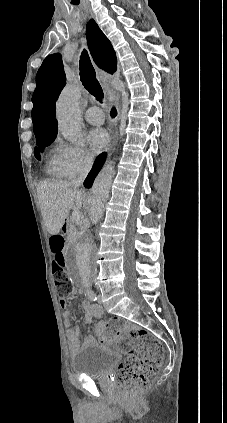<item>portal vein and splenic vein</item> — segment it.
Masks as SVG:
<instances>
[{
  "label": "portal vein and splenic vein",
  "mask_w": 227,
  "mask_h": 423,
  "mask_svg": "<svg viewBox=\"0 0 227 423\" xmlns=\"http://www.w3.org/2000/svg\"><path fill=\"white\" fill-rule=\"evenodd\" d=\"M72 217H73V219H80V217H81V211L73 210L72 211Z\"/></svg>",
  "instance_id": "portal-vein-and-splenic-vein-1"
}]
</instances>
